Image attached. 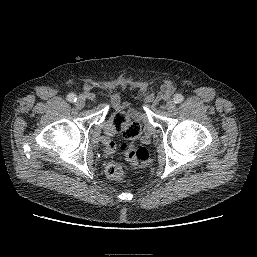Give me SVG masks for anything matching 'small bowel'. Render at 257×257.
Wrapping results in <instances>:
<instances>
[{"mask_svg":"<svg viewBox=\"0 0 257 257\" xmlns=\"http://www.w3.org/2000/svg\"><path fill=\"white\" fill-rule=\"evenodd\" d=\"M110 102L112 105L120 108H128L130 116L134 119L135 122L139 123L140 127L141 124L143 125V128H141L142 134H141V140L143 142H148L151 136V124L141 107H132L128 103H121L118 95H113L110 99Z\"/></svg>","mask_w":257,"mask_h":257,"instance_id":"c3829d8e","label":"small bowel"}]
</instances>
